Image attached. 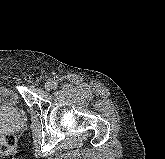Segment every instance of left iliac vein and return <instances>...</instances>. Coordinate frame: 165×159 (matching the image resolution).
<instances>
[{
  "label": "left iliac vein",
  "mask_w": 165,
  "mask_h": 159,
  "mask_svg": "<svg viewBox=\"0 0 165 159\" xmlns=\"http://www.w3.org/2000/svg\"><path fill=\"white\" fill-rule=\"evenodd\" d=\"M53 88H54L53 82H47V83L45 84V89H46L47 91H50V90L53 89Z\"/></svg>",
  "instance_id": "obj_1"
}]
</instances>
